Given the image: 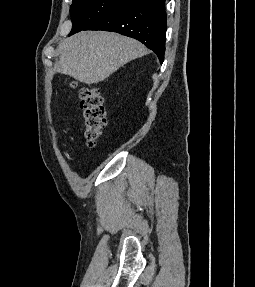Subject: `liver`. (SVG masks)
<instances>
[{
    "instance_id": "1",
    "label": "liver",
    "mask_w": 255,
    "mask_h": 287,
    "mask_svg": "<svg viewBox=\"0 0 255 287\" xmlns=\"http://www.w3.org/2000/svg\"><path fill=\"white\" fill-rule=\"evenodd\" d=\"M59 66L83 84H98L118 68L148 54L147 48L120 34L79 32L60 46Z\"/></svg>"
}]
</instances>
